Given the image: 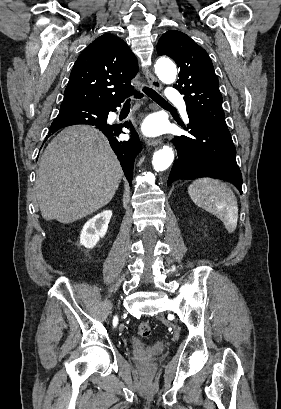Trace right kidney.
<instances>
[{"mask_svg":"<svg viewBox=\"0 0 281 409\" xmlns=\"http://www.w3.org/2000/svg\"><path fill=\"white\" fill-rule=\"evenodd\" d=\"M111 217L112 211H103V213L89 219L81 231L80 245H84L87 249L95 247L100 241V237L106 235Z\"/></svg>","mask_w":281,"mask_h":409,"instance_id":"ca27d5eb","label":"right kidney"}]
</instances>
